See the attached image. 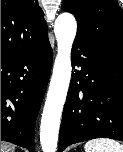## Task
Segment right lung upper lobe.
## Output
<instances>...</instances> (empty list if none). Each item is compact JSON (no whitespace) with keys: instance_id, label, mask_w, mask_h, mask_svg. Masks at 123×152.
<instances>
[{"instance_id":"1","label":"right lung upper lobe","mask_w":123,"mask_h":152,"mask_svg":"<svg viewBox=\"0 0 123 152\" xmlns=\"http://www.w3.org/2000/svg\"><path fill=\"white\" fill-rule=\"evenodd\" d=\"M46 36L37 0H1V56L26 51Z\"/></svg>"}]
</instances>
